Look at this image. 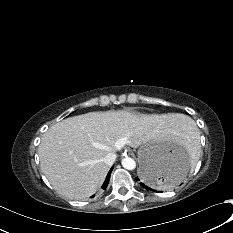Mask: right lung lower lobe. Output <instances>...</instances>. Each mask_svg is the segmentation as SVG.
I'll return each mask as SVG.
<instances>
[{
	"label": "right lung lower lobe",
	"instance_id": "right-lung-lower-lobe-1",
	"mask_svg": "<svg viewBox=\"0 0 233 233\" xmlns=\"http://www.w3.org/2000/svg\"><path fill=\"white\" fill-rule=\"evenodd\" d=\"M112 170H113V167H112L111 170L109 171L110 173L107 174V177H106V179H105V181H104V183H103V185H102V189H104V190L106 189V187H107V185H108V183H109ZM92 197H94V196H92Z\"/></svg>",
	"mask_w": 233,
	"mask_h": 233
}]
</instances>
